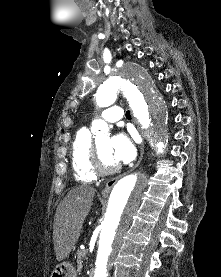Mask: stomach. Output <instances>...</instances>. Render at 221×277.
<instances>
[{"instance_id": "0dacf381", "label": "stomach", "mask_w": 221, "mask_h": 277, "mask_svg": "<svg viewBox=\"0 0 221 277\" xmlns=\"http://www.w3.org/2000/svg\"><path fill=\"white\" fill-rule=\"evenodd\" d=\"M51 277H77V271L71 263L62 262L55 267Z\"/></svg>"}]
</instances>
